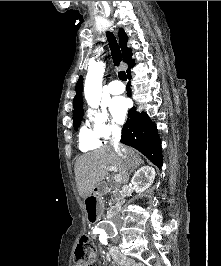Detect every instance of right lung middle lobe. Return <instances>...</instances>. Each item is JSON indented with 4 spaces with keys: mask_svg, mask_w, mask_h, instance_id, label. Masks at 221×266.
Wrapping results in <instances>:
<instances>
[{
    "mask_svg": "<svg viewBox=\"0 0 221 266\" xmlns=\"http://www.w3.org/2000/svg\"><path fill=\"white\" fill-rule=\"evenodd\" d=\"M82 117H83V113L76 115V116H73V119H74L73 126H74L75 130H77V128L79 127L81 120H82Z\"/></svg>",
    "mask_w": 221,
    "mask_h": 266,
    "instance_id": "1",
    "label": "right lung middle lobe"
}]
</instances>
